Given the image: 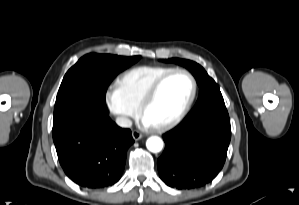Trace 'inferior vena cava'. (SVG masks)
Instances as JSON below:
<instances>
[{
	"label": "inferior vena cava",
	"instance_id": "1",
	"mask_svg": "<svg viewBox=\"0 0 299 205\" xmlns=\"http://www.w3.org/2000/svg\"><path fill=\"white\" fill-rule=\"evenodd\" d=\"M116 123L118 126L123 128H130L132 126V121L124 116H120L116 118Z\"/></svg>",
	"mask_w": 299,
	"mask_h": 205
}]
</instances>
